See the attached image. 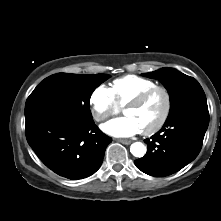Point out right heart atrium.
<instances>
[{
    "mask_svg": "<svg viewBox=\"0 0 221 221\" xmlns=\"http://www.w3.org/2000/svg\"><path fill=\"white\" fill-rule=\"evenodd\" d=\"M89 103L92 116L97 122H102L121 110V107L115 101L111 88L104 84L98 85L93 90Z\"/></svg>",
    "mask_w": 221,
    "mask_h": 221,
    "instance_id": "obj_1",
    "label": "right heart atrium"
}]
</instances>
